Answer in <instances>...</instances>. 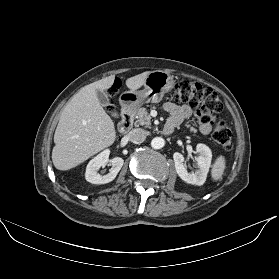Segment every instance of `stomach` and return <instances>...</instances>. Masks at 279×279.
<instances>
[{
    "label": "stomach",
    "instance_id": "1",
    "mask_svg": "<svg viewBox=\"0 0 279 279\" xmlns=\"http://www.w3.org/2000/svg\"><path fill=\"white\" fill-rule=\"evenodd\" d=\"M174 87L173 77L160 70L152 71L144 82L141 91H126L120 96V104L126 112H134L144 103H158L165 93Z\"/></svg>",
    "mask_w": 279,
    "mask_h": 279
}]
</instances>
